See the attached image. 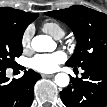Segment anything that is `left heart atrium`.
I'll return each mask as SVG.
<instances>
[{
    "label": "left heart atrium",
    "instance_id": "left-heart-atrium-1",
    "mask_svg": "<svg viewBox=\"0 0 107 107\" xmlns=\"http://www.w3.org/2000/svg\"><path fill=\"white\" fill-rule=\"evenodd\" d=\"M66 54L62 51L38 54L31 60V67L41 73H52L65 62Z\"/></svg>",
    "mask_w": 107,
    "mask_h": 107
}]
</instances>
